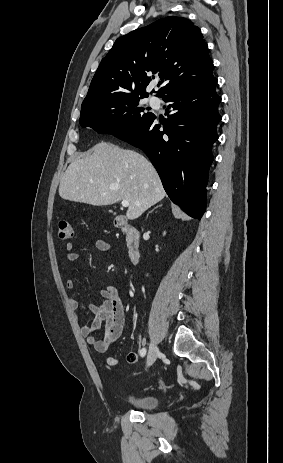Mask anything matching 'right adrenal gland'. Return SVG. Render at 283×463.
Segmentation results:
<instances>
[{"mask_svg": "<svg viewBox=\"0 0 283 463\" xmlns=\"http://www.w3.org/2000/svg\"><path fill=\"white\" fill-rule=\"evenodd\" d=\"M161 206H162V204L156 206L153 210H155L156 208L161 207ZM153 210H152V211H153ZM152 211H151V212H152Z\"/></svg>", "mask_w": 283, "mask_h": 463, "instance_id": "2a0ac1e0", "label": "right adrenal gland"}]
</instances>
